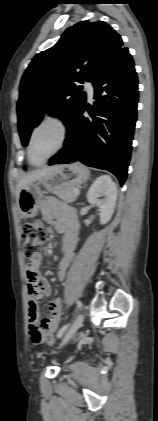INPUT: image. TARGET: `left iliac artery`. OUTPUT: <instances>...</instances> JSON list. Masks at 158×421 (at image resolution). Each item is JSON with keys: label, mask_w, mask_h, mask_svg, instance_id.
Here are the masks:
<instances>
[{"label": "left iliac artery", "mask_w": 158, "mask_h": 421, "mask_svg": "<svg viewBox=\"0 0 158 421\" xmlns=\"http://www.w3.org/2000/svg\"><path fill=\"white\" fill-rule=\"evenodd\" d=\"M77 307L80 309L81 307H82V303H81V301H77ZM68 326H69V324H67V325H65V326H63L60 330H59V332H58V334H57V337L58 338H60L63 334H64V332H65V330L68 328Z\"/></svg>", "instance_id": "44dca946"}]
</instances>
